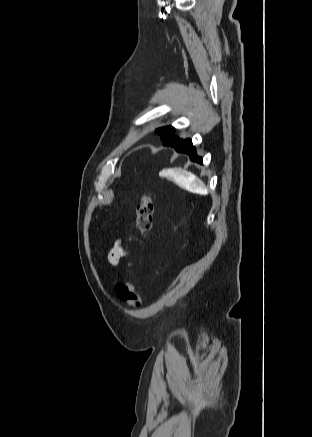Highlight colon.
<instances>
[{"label": "colon", "mask_w": 312, "mask_h": 437, "mask_svg": "<svg viewBox=\"0 0 312 437\" xmlns=\"http://www.w3.org/2000/svg\"><path fill=\"white\" fill-rule=\"evenodd\" d=\"M153 202L148 192H145L136 210V227L141 237L146 238L153 223ZM116 296L131 307L141 305V297L136 292L135 285L131 281H120L115 286Z\"/></svg>", "instance_id": "1"}]
</instances>
